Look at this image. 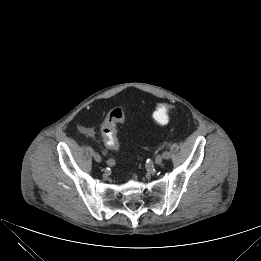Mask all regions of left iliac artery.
I'll return each mask as SVG.
<instances>
[{
	"mask_svg": "<svg viewBox=\"0 0 261 261\" xmlns=\"http://www.w3.org/2000/svg\"><path fill=\"white\" fill-rule=\"evenodd\" d=\"M170 152L168 151V150H164L163 152H162V156H163V158L164 159H169L170 158Z\"/></svg>",
	"mask_w": 261,
	"mask_h": 261,
	"instance_id": "obj_1",
	"label": "left iliac artery"
}]
</instances>
